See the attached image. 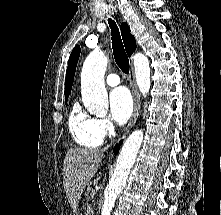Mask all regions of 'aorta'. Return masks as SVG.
<instances>
[{
	"label": "aorta",
	"instance_id": "aorta-1",
	"mask_svg": "<svg viewBox=\"0 0 221 215\" xmlns=\"http://www.w3.org/2000/svg\"><path fill=\"white\" fill-rule=\"evenodd\" d=\"M108 59L101 51L94 50L84 61L81 71L82 100L88 112L97 116H105L108 112V96L104 75ZM136 82L143 96L151 87L150 64L142 53L134 55ZM143 131L135 130L124 142L119 153L114 174L104 191L101 215H110L118 194L126 186L129 172L135 163L139 148L143 141Z\"/></svg>",
	"mask_w": 221,
	"mask_h": 215
}]
</instances>
